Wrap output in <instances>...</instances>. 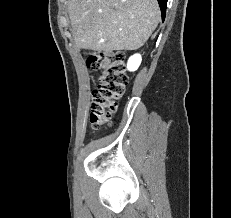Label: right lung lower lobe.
Masks as SVG:
<instances>
[{
    "instance_id": "obj_1",
    "label": "right lung lower lobe",
    "mask_w": 231,
    "mask_h": 218,
    "mask_svg": "<svg viewBox=\"0 0 231 218\" xmlns=\"http://www.w3.org/2000/svg\"><path fill=\"white\" fill-rule=\"evenodd\" d=\"M161 13H162V20L165 19V14H166V5H167V0H158Z\"/></svg>"
}]
</instances>
